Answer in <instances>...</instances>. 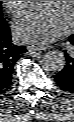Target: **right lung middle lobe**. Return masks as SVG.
Wrapping results in <instances>:
<instances>
[{
  "mask_svg": "<svg viewBox=\"0 0 74 122\" xmlns=\"http://www.w3.org/2000/svg\"><path fill=\"white\" fill-rule=\"evenodd\" d=\"M2 28V21L0 20V29Z\"/></svg>",
  "mask_w": 74,
  "mask_h": 122,
  "instance_id": "dd1d6c3e",
  "label": "right lung middle lobe"
}]
</instances>
